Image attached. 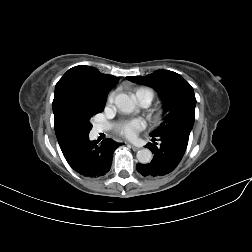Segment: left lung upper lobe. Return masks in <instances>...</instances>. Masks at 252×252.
Segmentation results:
<instances>
[{
    "label": "left lung upper lobe",
    "instance_id": "1",
    "mask_svg": "<svg viewBox=\"0 0 252 252\" xmlns=\"http://www.w3.org/2000/svg\"><path fill=\"white\" fill-rule=\"evenodd\" d=\"M127 79L154 88L162 97L164 121L150 134L151 137L177 129L192 130L196 98L193 88L181 75L169 70H156L147 76H129Z\"/></svg>",
    "mask_w": 252,
    "mask_h": 252
}]
</instances>
